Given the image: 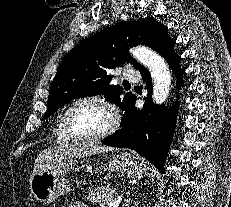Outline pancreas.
<instances>
[{
    "label": "pancreas",
    "mask_w": 231,
    "mask_h": 207,
    "mask_svg": "<svg viewBox=\"0 0 231 207\" xmlns=\"http://www.w3.org/2000/svg\"><path fill=\"white\" fill-rule=\"evenodd\" d=\"M116 191L113 188L108 186H101L90 190L86 196V198L92 203L101 204L106 202L109 203L113 201V195Z\"/></svg>",
    "instance_id": "1"
}]
</instances>
